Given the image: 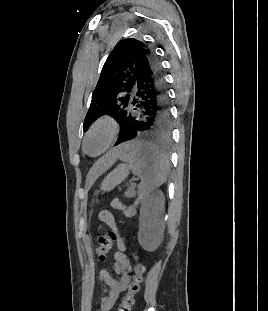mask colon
Wrapping results in <instances>:
<instances>
[{"mask_svg": "<svg viewBox=\"0 0 268 311\" xmlns=\"http://www.w3.org/2000/svg\"><path fill=\"white\" fill-rule=\"evenodd\" d=\"M115 238L116 236L113 232L105 233L98 237L96 253L99 260H105L107 254L112 249ZM135 259L137 260V264L135 266L134 276L132 281L128 285L127 293L123 297L118 307V311H131V308L134 304L135 296L140 290L143 279L144 266L138 261L139 258L137 255H135Z\"/></svg>", "mask_w": 268, "mask_h": 311, "instance_id": "5ec220e1", "label": "colon"}]
</instances>
